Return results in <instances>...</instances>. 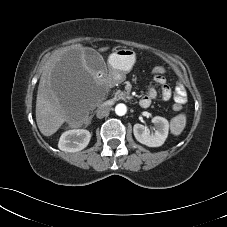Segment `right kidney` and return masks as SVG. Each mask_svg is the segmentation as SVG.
Wrapping results in <instances>:
<instances>
[{
    "instance_id": "right-kidney-1",
    "label": "right kidney",
    "mask_w": 227,
    "mask_h": 227,
    "mask_svg": "<svg viewBox=\"0 0 227 227\" xmlns=\"http://www.w3.org/2000/svg\"><path fill=\"white\" fill-rule=\"evenodd\" d=\"M91 139V133L85 129H73L64 132L58 143V148L64 152L83 150Z\"/></svg>"
}]
</instances>
